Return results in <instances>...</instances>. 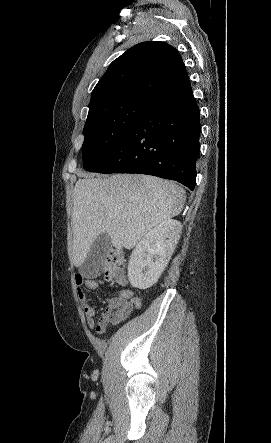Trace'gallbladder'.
<instances>
[{
	"label": "gallbladder",
	"instance_id": "bac80fb5",
	"mask_svg": "<svg viewBox=\"0 0 271 443\" xmlns=\"http://www.w3.org/2000/svg\"><path fill=\"white\" fill-rule=\"evenodd\" d=\"M113 247L112 239L107 233H101L93 241L85 260L80 261L79 271L84 278H95L96 273H104L111 259L110 249Z\"/></svg>",
	"mask_w": 271,
	"mask_h": 443
}]
</instances>
